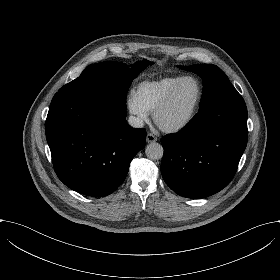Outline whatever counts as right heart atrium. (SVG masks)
Masks as SVG:
<instances>
[{"mask_svg":"<svg viewBox=\"0 0 280 280\" xmlns=\"http://www.w3.org/2000/svg\"><path fill=\"white\" fill-rule=\"evenodd\" d=\"M126 105L130 113L138 116L142 120L149 117V112L138 102L134 94H130L127 98Z\"/></svg>","mask_w":280,"mask_h":280,"instance_id":"right-heart-atrium-1","label":"right heart atrium"}]
</instances>
